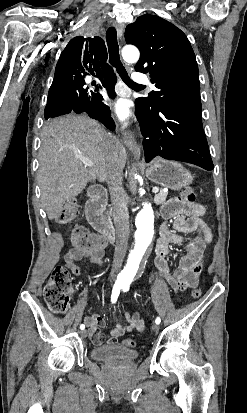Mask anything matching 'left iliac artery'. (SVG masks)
Instances as JSON below:
<instances>
[{
  "label": "left iliac artery",
  "instance_id": "obj_1",
  "mask_svg": "<svg viewBox=\"0 0 247 413\" xmlns=\"http://www.w3.org/2000/svg\"><path fill=\"white\" fill-rule=\"evenodd\" d=\"M129 287H130L129 284L123 285V286H122V290H123L124 292H127V291L129 290ZM160 322H161L160 317H157L156 320H155V323H156V324H160Z\"/></svg>",
  "mask_w": 247,
  "mask_h": 413
}]
</instances>
